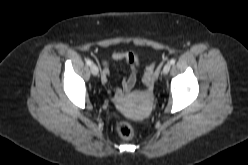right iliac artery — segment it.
I'll return each instance as SVG.
<instances>
[{"instance_id": "obj_1", "label": "right iliac artery", "mask_w": 248, "mask_h": 165, "mask_svg": "<svg viewBox=\"0 0 248 165\" xmlns=\"http://www.w3.org/2000/svg\"><path fill=\"white\" fill-rule=\"evenodd\" d=\"M86 63H87V65H89V66H91V64H92V62H91V60H86Z\"/></svg>"}]
</instances>
